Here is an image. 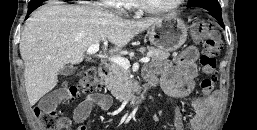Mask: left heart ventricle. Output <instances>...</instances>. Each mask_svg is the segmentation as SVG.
Segmentation results:
<instances>
[{
	"mask_svg": "<svg viewBox=\"0 0 257 130\" xmlns=\"http://www.w3.org/2000/svg\"><path fill=\"white\" fill-rule=\"evenodd\" d=\"M176 0H145V2L154 8H164L172 5Z\"/></svg>",
	"mask_w": 257,
	"mask_h": 130,
	"instance_id": "b2bd125f",
	"label": "left heart ventricle"
}]
</instances>
